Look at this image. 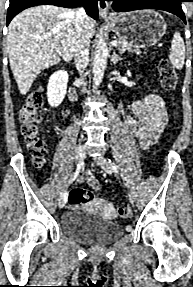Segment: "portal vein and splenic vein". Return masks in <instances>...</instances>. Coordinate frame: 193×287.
I'll return each instance as SVG.
<instances>
[{"label":"portal vein and splenic vein","mask_w":193,"mask_h":287,"mask_svg":"<svg viewBox=\"0 0 193 287\" xmlns=\"http://www.w3.org/2000/svg\"><path fill=\"white\" fill-rule=\"evenodd\" d=\"M111 45L114 46V47H116V46L118 45V43H117V41H112V42H111ZM52 47H55V45H53Z\"/></svg>","instance_id":"1"}]
</instances>
